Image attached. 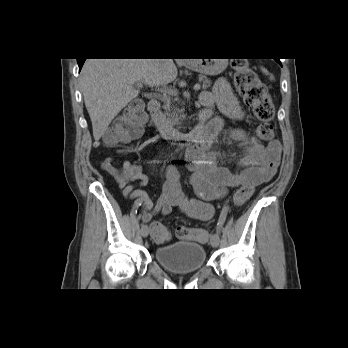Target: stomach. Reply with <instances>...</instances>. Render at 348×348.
I'll return each instance as SVG.
<instances>
[{
  "instance_id": "0dacf381",
  "label": "stomach",
  "mask_w": 348,
  "mask_h": 348,
  "mask_svg": "<svg viewBox=\"0 0 348 348\" xmlns=\"http://www.w3.org/2000/svg\"><path fill=\"white\" fill-rule=\"evenodd\" d=\"M227 59H194L188 66L201 75L216 76L227 66Z\"/></svg>"
}]
</instances>
